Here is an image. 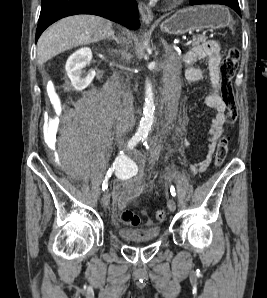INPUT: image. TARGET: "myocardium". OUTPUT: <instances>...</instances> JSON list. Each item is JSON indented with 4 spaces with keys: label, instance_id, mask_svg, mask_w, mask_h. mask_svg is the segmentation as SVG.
<instances>
[{
    "label": "myocardium",
    "instance_id": "f54148a6",
    "mask_svg": "<svg viewBox=\"0 0 267 298\" xmlns=\"http://www.w3.org/2000/svg\"><path fill=\"white\" fill-rule=\"evenodd\" d=\"M181 1L182 0H166V2L169 3V4H176V3H179Z\"/></svg>",
    "mask_w": 267,
    "mask_h": 298
}]
</instances>
